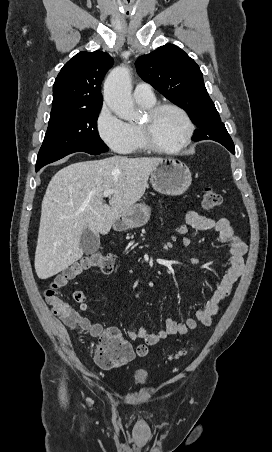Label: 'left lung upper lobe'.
<instances>
[{
	"mask_svg": "<svg viewBox=\"0 0 272 452\" xmlns=\"http://www.w3.org/2000/svg\"><path fill=\"white\" fill-rule=\"evenodd\" d=\"M136 67L143 80L189 113L199 128L193 140L230 137L207 93L199 66L182 49L173 44L161 46L139 57Z\"/></svg>",
	"mask_w": 272,
	"mask_h": 452,
	"instance_id": "obj_1",
	"label": "left lung upper lobe"
}]
</instances>
